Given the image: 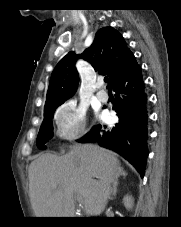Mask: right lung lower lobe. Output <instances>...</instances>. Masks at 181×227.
I'll return each mask as SVG.
<instances>
[{
	"instance_id": "obj_1",
	"label": "right lung lower lobe",
	"mask_w": 181,
	"mask_h": 227,
	"mask_svg": "<svg viewBox=\"0 0 181 227\" xmlns=\"http://www.w3.org/2000/svg\"><path fill=\"white\" fill-rule=\"evenodd\" d=\"M111 87L117 96L113 109L117 112L119 123L109 130L101 125L94 126L79 142H97L119 153L143 177L148 156L147 95L141 68L133 54L126 59Z\"/></svg>"
}]
</instances>
